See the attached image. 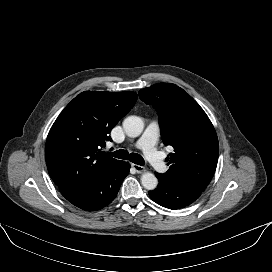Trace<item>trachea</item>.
<instances>
[{"label":"trachea","mask_w":272,"mask_h":272,"mask_svg":"<svg viewBox=\"0 0 272 272\" xmlns=\"http://www.w3.org/2000/svg\"><path fill=\"white\" fill-rule=\"evenodd\" d=\"M111 156L119 159H124V160H130L131 162L137 164V165H143L144 164V159L142 158L141 155L137 153H128L126 150H118L115 152L110 153Z\"/></svg>","instance_id":"trachea-1"}]
</instances>
